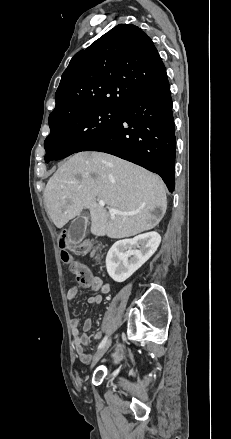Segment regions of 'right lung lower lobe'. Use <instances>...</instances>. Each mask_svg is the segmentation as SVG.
<instances>
[{
	"label": "right lung lower lobe",
	"mask_w": 231,
	"mask_h": 439,
	"mask_svg": "<svg viewBox=\"0 0 231 439\" xmlns=\"http://www.w3.org/2000/svg\"><path fill=\"white\" fill-rule=\"evenodd\" d=\"M175 124L169 82L144 92L121 110L118 122L84 151H100L160 175L175 188Z\"/></svg>",
	"instance_id": "obj_1"
}]
</instances>
